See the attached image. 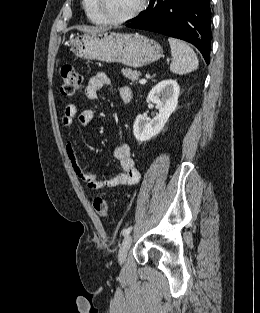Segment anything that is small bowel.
I'll list each match as a JSON object with an SVG mask.
<instances>
[{
    "label": "small bowel",
    "mask_w": 260,
    "mask_h": 313,
    "mask_svg": "<svg viewBox=\"0 0 260 313\" xmlns=\"http://www.w3.org/2000/svg\"><path fill=\"white\" fill-rule=\"evenodd\" d=\"M109 85H111L109 76L105 73H98L89 79L85 88V95L90 100H96L100 90ZM119 94L123 103H130L132 101L133 94L129 87L122 86L119 89ZM76 111L77 108L74 104L66 106L62 117V123L64 126H72ZM93 119V109H86L79 115V122L83 126L90 125ZM65 153L75 176L90 190L101 191L119 186H130L139 181L140 173L135 166L130 147L126 143H119L114 147L113 156L120 163L121 170L117 174L111 176L97 175L87 172L81 166L76 148L70 140L65 142Z\"/></svg>",
    "instance_id": "c3829d8e"
}]
</instances>
